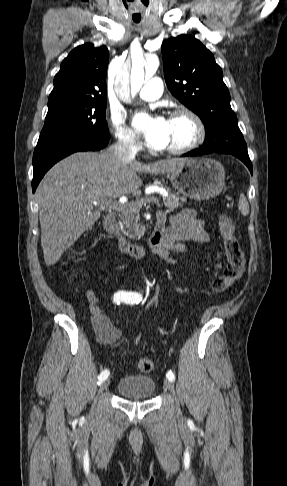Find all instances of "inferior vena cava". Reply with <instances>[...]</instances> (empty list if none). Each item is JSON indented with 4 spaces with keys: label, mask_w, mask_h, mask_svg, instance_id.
I'll return each instance as SVG.
<instances>
[{
    "label": "inferior vena cava",
    "mask_w": 287,
    "mask_h": 486,
    "mask_svg": "<svg viewBox=\"0 0 287 486\" xmlns=\"http://www.w3.org/2000/svg\"><path fill=\"white\" fill-rule=\"evenodd\" d=\"M109 150L123 161L134 160L137 153V147L134 140L128 135L120 137L118 142L113 144Z\"/></svg>",
    "instance_id": "602c4592"
}]
</instances>
